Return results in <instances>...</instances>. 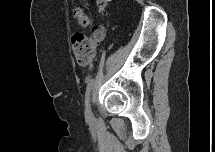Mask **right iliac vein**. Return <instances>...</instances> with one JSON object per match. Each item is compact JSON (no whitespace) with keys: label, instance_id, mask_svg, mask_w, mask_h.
I'll list each match as a JSON object with an SVG mask.
<instances>
[{"label":"right iliac vein","instance_id":"obj_1","mask_svg":"<svg viewBox=\"0 0 215 152\" xmlns=\"http://www.w3.org/2000/svg\"><path fill=\"white\" fill-rule=\"evenodd\" d=\"M85 115L87 118H90L91 116V104H90V98H88L85 106Z\"/></svg>","mask_w":215,"mask_h":152}]
</instances>
